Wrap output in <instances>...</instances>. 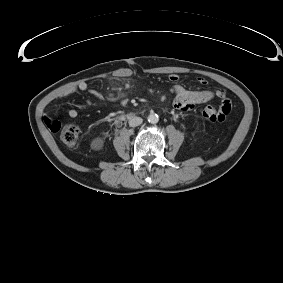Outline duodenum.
<instances>
[{"label": "duodenum", "instance_id": "1", "mask_svg": "<svg viewBox=\"0 0 283 283\" xmlns=\"http://www.w3.org/2000/svg\"><path fill=\"white\" fill-rule=\"evenodd\" d=\"M133 117H134V114H128V115L124 116L123 120L131 119Z\"/></svg>", "mask_w": 283, "mask_h": 283}]
</instances>
